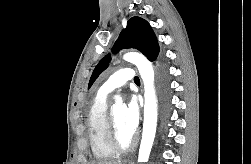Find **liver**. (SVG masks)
<instances>
[{
	"label": "liver",
	"instance_id": "1",
	"mask_svg": "<svg viewBox=\"0 0 251 164\" xmlns=\"http://www.w3.org/2000/svg\"><path fill=\"white\" fill-rule=\"evenodd\" d=\"M92 164H121L120 161H103L98 163H92Z\"/></svg>",
	"mask_w": 251,
	"mask_h": 164
}]
</instances>
